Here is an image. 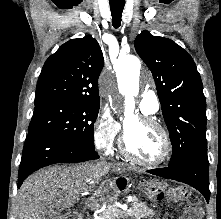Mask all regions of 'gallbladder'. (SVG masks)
<instances>
[{
  "label": "gallbladder",
  "instance_id": "gallbladder-1",
  "mask_svg": "<svg viewBox=\"0 0 221 219\" xmlns=\"http://www.w3.org/2000/svg\"><path fill=\"white\" fill-rule=\"evenodd\" d=\"M44 219H62L61 218V210H48Z\"/></svg>",
  "mask_w": 221,
  "mask_h": 219
}]
</instances>
